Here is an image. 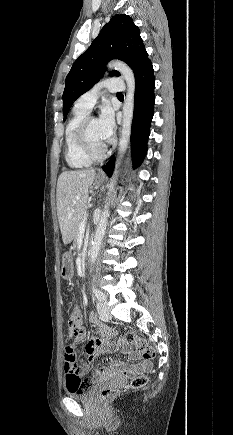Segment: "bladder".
I'll list each match as a JSON object with an SVG mask.
<instances>
[{
  "label": "bladder",
  "mask_w": 233,
  "mask_h": 435,
  "mask_svg": "<svg viewBox=\"0 0 233 435\" xmlns=\"http://www.w3.org/2000/svg\"><path fill=\"white\" fill-rule=\"evenodd\" d=\"M99 385L100 383L96 382V383H92L90 385V388L85 392L73 393L70 391H66L65 393L73 399L86 401L94 398V396L96 395V389L99 387Z\"/></svg>",
  "instance_id": "bladder-1"
}]
</instances>
